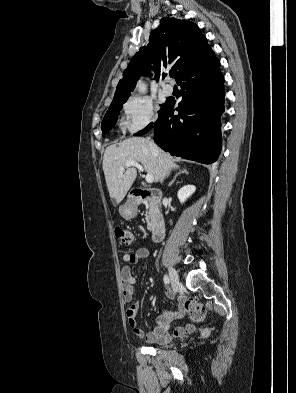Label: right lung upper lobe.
Returning <instances> with one entry per match:
<instances>
[{"label": "right lung upper lobe", "instance_id": "1", "mask_svg": "<svg viewBox=\"0 0 296 393\" xmlns=\"http://www.w3.org/2000/svg\"><path fill=\"white\" fill-rule=\"evenodd\" d=\"M207 48V39L196 24L175 18H162L159 27L151 32L149 44L136 53L125 69L113 101L128 98L139 75L149 73L153 67L156 80L160 76V69L168 65L172 66L177 79Z\"/></svg>", "mask_w": 296, "mask_h": 393}]
</instances>
